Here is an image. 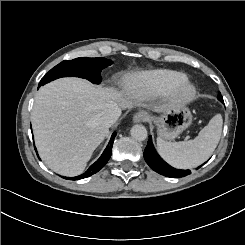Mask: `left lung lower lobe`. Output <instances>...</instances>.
Returning a JSON list of instances; mask_svg holds the SVG:
<instances>
[{
    "label": "left lung lower lobe",
    "mask_w": 245,
    "mask_h": 245,
    "mask_svg": "<svg viewBox=\"0 0 245 245\" xmlns=\"http://www.w3.org/2000/svg\"><path fill=\"white\" fill-rule=\"evenodd\" d=\"M218 100L223 102V97L221 96L220 93L218 94ZM143 155L145 161L147 162V164L150 166L151 169L166 177L179 178V177H185L191 173L190 170H180L168 165L156 152L152 143L151 136H149L148 143L144 150Z\"/></svg>",
    "instance_id": "left-lung-lower-lobe-1"
}]
</instances>
